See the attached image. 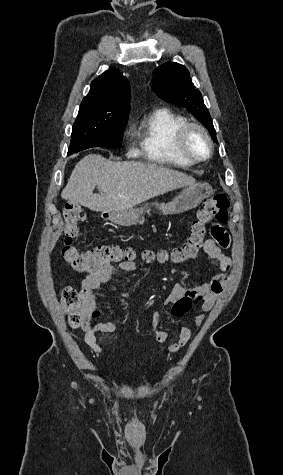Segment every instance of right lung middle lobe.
<instances>
[{
	"mask_svg": "<svg viewBox=\"0 0 283 475\" xmlns=\"http://www.w3.org/2000/svg\"><path fill=\"white\" fill-rule=\"evenodd\" d=\"M130 105L81 104L73 125L68 155L91 147H121Z\"/></svg>",
	"mask_w": 283,
	"mask_h": 475,
	"instance_id": "obj_1",
	"label": "right lung middle lobe"
}]
</instances>
